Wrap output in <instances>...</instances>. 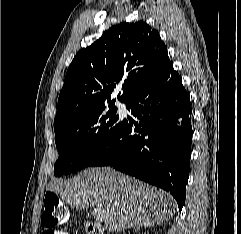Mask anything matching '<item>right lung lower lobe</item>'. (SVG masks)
<instances>
[{
	"instance_id": "98d812e1",
	"label": "right lung lower lobe",
	"mask_w": 241,
	"mask_h": 234,
	"mask_svg": "<svg viewBox=\"0 0 241 234\" xmlns=\"http://www.w3.org/2000/svg\"><path fill=\"white\" fill-rule=\"evenodd\" d=\"M128 116L90 166H112L170 192L182 209L189 177L192 108L171 62L130 101Z\"/></svg>"
}]
</instances>
